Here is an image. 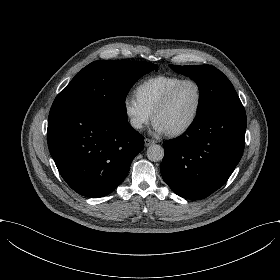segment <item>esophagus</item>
Listing matches in <instances>:
<instances>
[{
  "instance_id": "1",
  "label": "esophagus",
  "mask_w": 280,
  "mask_h": 280,
  "mask_svg": "<svg viewBox=\"0 0 280 280\" xmlns=\"http://www.w3.org/2000/svg\"><path fill=\"white\" fill-rule=\"evenodd\" d=\"M144 141H145V146H146V147H148V146H150V145H152V144L155 143V140L150 139V138H145Z\"/></svg>"
}]
</instances>
